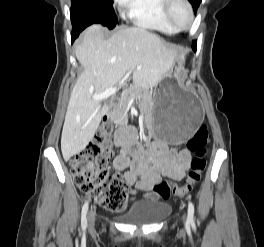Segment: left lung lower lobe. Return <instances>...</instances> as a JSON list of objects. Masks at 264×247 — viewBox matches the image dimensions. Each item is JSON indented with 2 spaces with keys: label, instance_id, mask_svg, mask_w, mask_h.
I'll list each match as a JSON object with an SVG mask.
<instances>
[{
  "label": "left lung lower lobe",
  "instance_id": "0a47b994",
  "mask_svg": "<svg viewBox=\"0 0 264 247\" xmlns=\"http://www.w3.org/2000/svg\"><path fill=\"white\" fill-rule=\"evenodd\" d=\"M193 43H194L193 50L196 51L197 41L195 40V41H193Z\"/></svg>",
  "mask_w": 264,
  "mask_h": 247
}]
</instances>
